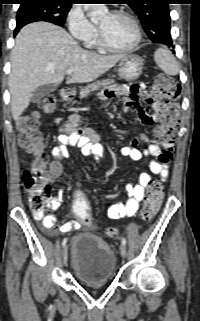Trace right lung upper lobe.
Listing matches in <instances>:
<instances>
[{"instance_id": "obj_1", "label": "right lung upper lobe", "mask_w": 200, "mask_h": 321, "mask_svg": "<svg viewBox=\"0 0 200 321\" xmlns=\"http://www.w3.org/2000/svg\"><path fill=\"white\" fill-rule=\"evenodd\" d=\"M20 1H26V0H20ZM58 1H62V2H66V3L72 4L73 1H75V0H58Z\"/></svg>"}]
</instances>
